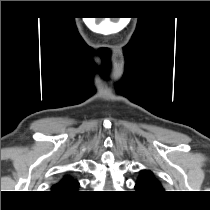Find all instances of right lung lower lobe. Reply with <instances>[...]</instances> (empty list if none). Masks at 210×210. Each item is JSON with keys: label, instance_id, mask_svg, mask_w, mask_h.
<instances>
[{"label": "right lung lower lobe", "instance_id": "98d812e1", "mask_svg": "<svg viewBox=\"0 0 210 210\" xmlns=\"http://www.w3.org/2000/svg\"><path fill=\"white\" fill-rule=\"evenodd\" d=\"M72 194H75V192L74 193H69V194H66V195H72Z\"/></svg>", "mask_w": 210, "mask_h": 210}]
</instances>
